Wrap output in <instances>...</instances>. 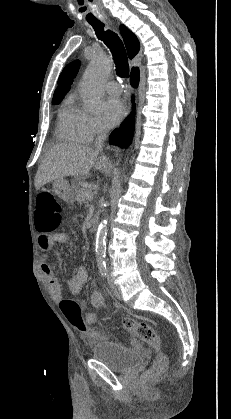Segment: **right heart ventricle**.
<instances>
[{"instance_id":"e07e8e85","label":"right heart ventricle","mask_w":231,"mask_h":419,"mask_svg":"<svg viewBox=\"0 0 231 419\" xmlns=\"http://www.w3.org/2000/svg\"><path fill=\"white\" fill-rule=\"evenodd\" d=\"M86 114L68 98L58 113L56 134L61 140L83 144L88 141L84 132Z\"/></svg>"}]
</instances>
